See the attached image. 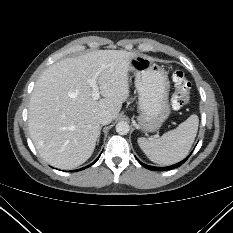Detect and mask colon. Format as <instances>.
Here are the masks:
<instances>
[{
	"mask_svg": "<svg viewBox=\"0 0 233 233\" xmlns=\"http://www.w3.org/2000/svg\"><path fill=\"white\" fill-rule=\"evenodd\" d=\"M172 82L174 93L171 98V106L174 110H180L189 102L191 83L181 70L173 71Z\"/></svg>",
	"mask_w": 233,
	"mask_h": 233,
	"instance_id": "obj_1",
	"label": "colon"
}]
</instances>
